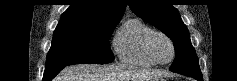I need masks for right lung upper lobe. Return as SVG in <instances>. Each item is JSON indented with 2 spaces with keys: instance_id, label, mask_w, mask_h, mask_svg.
Masks as SVG:
<instances>
[{
  "instance_id": "right-lung-upper-lobe-1",
  "label": "right lung upper lobe",
  "mask_w": 237,
  "mask_h": 81,
  "mask_svg": "<svg viewBox=\"0 0 237 81\" xmlns=\"http://www.w3.org/2000/svg\"><path fill=\"white\" fill-rule=\"evenodd\" d=\"M71 2L60 20L115 21L121 19L126 7L124 0H71Z\"/></svg>"
}]
</instances>
